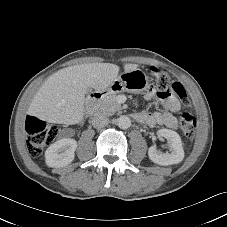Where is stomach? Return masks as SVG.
<instances>
[{
  "label": "stomach",
  "mask_w": 227,
  "mask_h": 227,
  "mask_svg": "<svg viewBox=\"0 0 227 227\" xmlns=\"http://www.w3.org/2000/svg\"><path fill=\"white\" fill-rule=\"evenodd\" d=\"M149 85L147 75L141 69L124 71L107 88L109 94L128 92L138 94Z\"/></svg>",
  "instance_id": "obj_1"
}]
</instances>
